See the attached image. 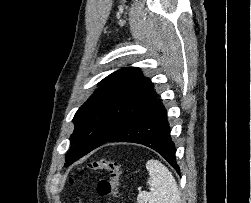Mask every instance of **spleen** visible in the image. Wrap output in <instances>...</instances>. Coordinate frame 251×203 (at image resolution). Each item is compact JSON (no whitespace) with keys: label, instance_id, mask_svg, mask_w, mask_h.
Returning <instances> with one entry per match:
<instances>
[{"label":"spleen","instance_id":"obj_1","mask_svg":"<svg viewBox=\"0 0 251 203\" xmlns=\"http://www.w3.org/2000/svg\"><path fill=\"white\" fill-rule=\"evenodd\" d=\"M149 172L148 184L150 192H140L138 203H180V194L172 173L158 160H149L146 163Z\"/></svg>","mask_w":251,"mask_h":203}]
</instances>
